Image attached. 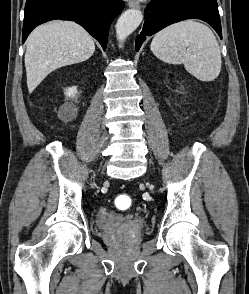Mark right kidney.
Segmentation results:
<instances>
[{"mask_svg": "<svg viewBox=\"0 0 249 294\" xmlns=\"http://www.w3.org/2000/svg\"><path fill=\"white\" fill-rule=\"evenodd\" d=\"M77 93V88L76 87H69L65 91V95L68 97H74L75 94ZM59 113L62 116L63 119L65 120H72L75 118L77 114V108L74 106L72 103H65L62 105L59 109Z\"/></svg>", "mask_w": 249, "mask_h": 294, "instance_id": "ca27d5eb", "label": "right kidney"}]
</instances>
